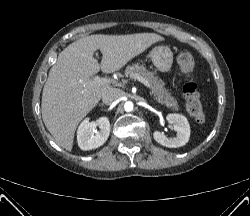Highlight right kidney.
Masks as SVG:
<instances>
[{"instance_id":"1","label":"right kidney","mask_w":250,"mask_h":216,"mask_svg":"<svg viewBox=\"0 0 250 216\" xmlns=\"http://www.w3.org/2000/svg\"><path fill=\"white\" fill-rule=\"evenodd\" d=\"M97 126L100 127V131L96 130ZM109 134L110 122L107 117H100L92 122L85 119L77 130L78 146L84 151L98 148L106 142Z\"/></svg>"}]
</instances>
